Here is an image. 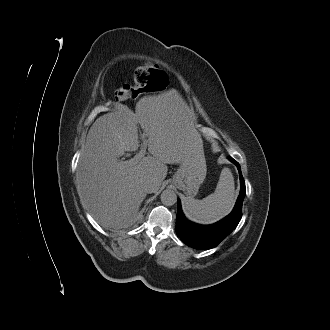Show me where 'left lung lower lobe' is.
Listing matches in <instances>:
<instances>
[{"mask_svg": "<svg viewBox=\"0 0 330 330\" xmlns=\"http://www.w3.org/2000/svg\"><path fill=\"white\" fill-rule=\"evenodd\" d=\"M228 159L238 168L241 190L234 209L227 217L212 225L204 226L194 224L184 217L180 201L178 200L176 232L178 237L190 247L196 249H211L216 247L237 227L241 220L242 204L246 194L245 182L239 163L230 156Z\"/></svg>", "mask_w": 330, "mask_h": 330, "instance_id": "1", "label": "left lung lower lobe"}]
</instances>
